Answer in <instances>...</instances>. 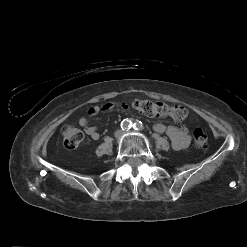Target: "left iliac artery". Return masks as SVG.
<instances>
[{
  "instance_id": "left-iliac-artery-1",
  "label": "left iliac artery",
  "mask_w": 247,
  "mask_h": 247,
  "mask_svg": "<svg viewBox=\"0 0 247 247\" xmlns=\"http://www.w3.org/2000/svg\"><path fill=\"white\" fill-rule=\"evenodd\" d=\"M133 128H134V130L138 131V130H143L144 126H143L141 121L136 120L133 124Z\"/></svg>"
}]
</instances>
